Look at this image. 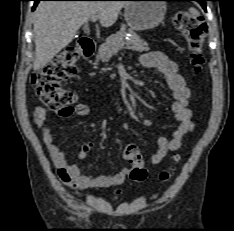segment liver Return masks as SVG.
<instances>
[{
    "mask_svg": "<svg viewBox=\"0 0 234 231\" xmlns=\"http://www.w3.org/2000/svg\"><path fill=\"white\" fill-rule=\"evenodd\" d=\"M124 1H42L34 13L35 71L69 45L81 26L97 15L103 27L118 19Z\"/></svg>",
    "mask_w": 234,
    "mask_h": 231,
    "instance_id": "1",
    "label": "liver"
}]
</instances>
